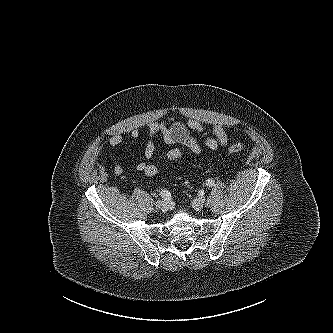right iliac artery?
Listing matches in <instances>:
<instances>
[{
  "instance_id": "right-iliac-artery-1",
  "label": "right iliac artery",
  "mask_w": 333,
  "mask_h": 333,
  "mask_svg": "<svg viewBox=\"0 0 333 333\" xmlns=\"http://www.w3.org/2000/svg\"><path fill=\"white\" fill-rule=\"evenodd\" d=\"M160 194H161V197L165 200H170L171 199V193L169 191L165 190V189L162 190Z\"/></svg>"
}]
</instances>
